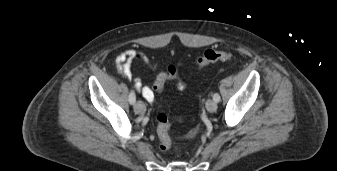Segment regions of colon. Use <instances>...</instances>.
<instances>
[{
  "label": "colon",
  "mask_w": 337,
  "mask_h": 171,
  "mask_svg": "<svg viewBox=\"0 0 337 171\" xmlns=\"http://www.w3.org/2000/svg\"><path fill=\"white\" fill-rule=\"evenodd\" d=\"M232 58V54L229 51L224 50H206L201 57L197 60V66L199 68H204L212 63L219 61H228ZM168 80H177V87L179 89H184L185 84L178 80V71L174 65H169L165 72L158 75L155 83L154 90L157 92H162L164 84ZM178 122V120H171L164 113H159L156 116L157 123V135L159 139V147L162 151H169L172 147V138L170 135L171 128Z\"/></svg>",
  "instance_id": "5ec220e1"
}]
</instances>
